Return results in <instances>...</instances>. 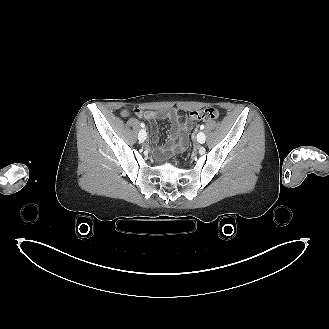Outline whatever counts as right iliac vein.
Returning <instances> with one entry per match:
<instances>
[{
    "mask_svg": "<svg viewBox=\"0 0 329 329\" xmlns=\"http://www.w3.org/2000/svg\"><path fill=\"white\" fill-rule=\"evenodd\" d=\"M147 133L144 129L140 130L138 133V139L139 141L143 142L146 139Z\"/></svg>",
    "mask_w": 329,
    "mask_h": 329,
    "instance_id": "63e3f726",
    "label": "right iliac vein"
}]
</instances>
